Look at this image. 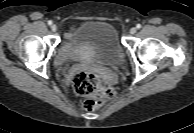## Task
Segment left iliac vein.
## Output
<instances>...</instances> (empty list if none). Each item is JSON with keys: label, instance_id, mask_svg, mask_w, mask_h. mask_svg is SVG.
Instances as JSON below:
<instances>
[{"label": "left iliac vein", "instance_id": "1", "mask_svg": "<svg viewBox=\"0 0 194 133\" xmlns=\"http://www.w3.org/2000/svg\"><path fill=\"white\" fill-rule=\"evenodd\" d=\"M136 31H137V29H136L135 27H133V28L130 29V33H131V34H135Z\"/></svg>", "mask_w": 194, "mask_h": 133}]
</instances>
